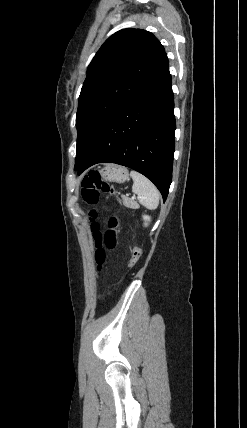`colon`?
Segmentation results:
<instances>
[{"mask_svg":"<svg viewBox=\"0 0 247 428\" xmlns=\"http://www.w3.org/2000/svg\"><path fill=\"white\" fill-rule=\"evenodd\" d=\"M114 195L115 191L111 184L103 180L99 173L90 172L81 183V195L83 200L89 205L98 203L101 195ZM96 213L92 212L91 216L95 217ZM94 232V241L96 250L94 258L98 270H100L106 260V250H115L120 243L121 222L117 215L112 216L108 221V229L102 236L98 232L97 224L92 226ZM142 251L136 246L130 247V266H135L141 257Z\"/></svg>","mask_w":247,"mask_h":428,"instance_id":"5ec220e1","label":"colon"}]
</instances>
